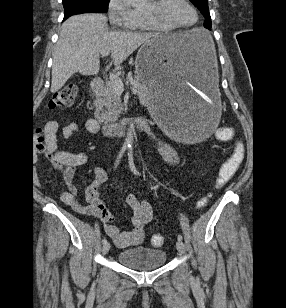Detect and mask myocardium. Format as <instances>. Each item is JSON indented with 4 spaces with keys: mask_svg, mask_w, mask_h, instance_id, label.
<instances>
[{
    "mask_svg": "<svg viewBox=\"0 0 286 308\" xmlns=\"http://www.w3.org/2000/svg\"><path fill=\"white\" fill-rule=\"evenodd\" d=\"M195 13V21L190 25H178L170 21L164 14L163 8L168 0H154V10L146 11V15L159 25L169 27L171 29H190L197 25L199 21V13L190 0H183Z\"/></svg>",
    "mask_w": 286,
    "mask_h": 308,
    "instance_id": "myocardium-1",
    "label": "myocardium"
}]
</instances>
